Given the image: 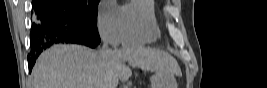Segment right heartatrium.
Returning a JSON list of instances; mask_svg holds the SVG:
<instances>
[{
    "mask_svg": "<svg viewBox=\"0 0 267 88\" xmlns=\"http://www.w3.org/2000/svg\"><path fill=\"white\" fill-rule=\"evenodd\" d=\"M100 35L113 45L122 41L123 17L121 8L113 1H104L98 11Z\"/></svg>",
    "mask_w": 267,
    "mask_h": 88,
    "instance_id": "d8ad5b80",
    "label": "right heart atrium"
}]
</instances>
